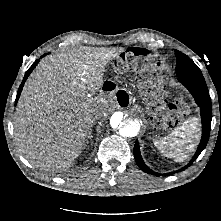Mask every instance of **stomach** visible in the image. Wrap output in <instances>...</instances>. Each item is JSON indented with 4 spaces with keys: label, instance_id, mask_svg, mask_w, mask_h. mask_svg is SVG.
<instances>
[{
    "label": "stomach",
    "instance_id": "1",
    "mask_svg": "<svg viewBox=\"0 0 221 221\" xmlns=\"http://www.w3.org/2000/svg\"><path fill=\"white\" fill-rule=\"evenodd\" d=\"M164 85L162 70L157 64L153 65L149 80L139 84L140 93L146 104V112L151 115L152 125L156 128L167 126V122L173 119L172 114L180 118L183 117L179 111L171 113L167 108V93L164 90Z\"/></svg>",
    "mask_w": 221,
    "mask_h": 221
}]
</instances>
